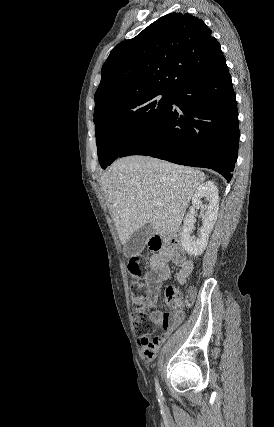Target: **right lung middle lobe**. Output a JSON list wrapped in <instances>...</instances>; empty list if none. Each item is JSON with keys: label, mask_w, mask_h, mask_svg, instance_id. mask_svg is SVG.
Listing matches in <instances>:
<instances>
[{"label": "right lung middle lobe", "mask_w": 274, "mask_h": 427, "mask_svg": "<svg viewBox=\"0 0 274 427\" xmlns=\"http://www.w3.org/2000/svg\"><path fill=\"white\" fill-rule=\"evenodd\" d=\"M171 98L172 94L169 93L132 96L94 117L98 157L103 169L163 119Z\"/></svg>", "instance_id": "right-lung-middle-lobe-1"}]
</instances>
